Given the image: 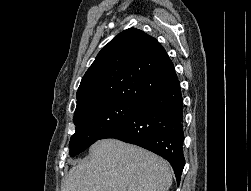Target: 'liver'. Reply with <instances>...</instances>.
<instances>
[{
  "mask_svg": "<svg viewBox=\"0 0 251 191\" xmlns=\"http://www.w3.org/2000/svg\"><path fill=\"white\" fill-rule=\"evenodd\" d=\"M90 153L69 169L62 191H167L168 161L119 139H99Z\"/></svg>",
  "mask_w": 251,
  "mask_h": 191,
  "instance_id": "obj_1",
  "label": "liver"
}]
</instances>
